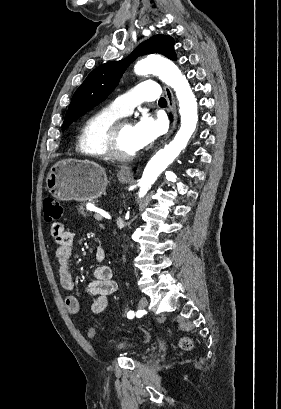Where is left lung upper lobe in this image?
<instances>
[{
	"instance_id": "1",
	"label": "left lung upper lobe",
	"mask_w": 281,
	"mask_h": 409,
	"mask_svg": "<svg viewBox=\"0 0 281 409\" xmlns=\"http://www.w3.org/2000/svg\"><path fill=\"white\" fill-rule=\"evenodd\" d=\"M173 48L174 40L172 37L155 35L143 42L127 58L121 61L108 62L95 68L74 93L65 115L62 130H65L76 119L104 101L113 91L128 65L138 56L159 53L176 60Z\"/></svg>"
}]
</instances>
